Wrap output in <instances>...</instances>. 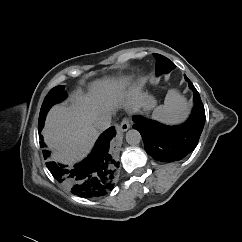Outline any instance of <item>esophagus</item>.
<instances>
[{
  "mask_svg": "<svg viewBox=\"0 0 242 242\" xmlns=\"http://www.w3.org/2000/svg\"><path fill=\"white\" fill-rule=\"evenodd\" d=\"M130 128V123L128 119H123L122 122L120 123L119 130L121 132H125Z\"/></svg>",
  "mask_w": 242,
  "mask_h": 242,
  "instance_id": "esophagus-1",
  "label": "esophagus"
}]
</instances>
